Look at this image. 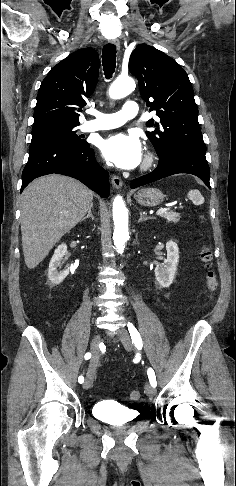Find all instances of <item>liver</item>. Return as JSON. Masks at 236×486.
<instances>
[{"label": "liver", "mask_w": 236, "mask_h": 486, "mask_svg": "<svg viewBox=\"0 0 236 486\" xmlns=\"http://www.w3.org/2000/svg\"><path fill=\"white\" fill-rule=\"evenodd\" d=\"M94 193L79 181L52 174L31 182L21 196L25 264L34 269L93 205Z\"/></svg>", "instance_id": "6515ba94"}]
</instances>
